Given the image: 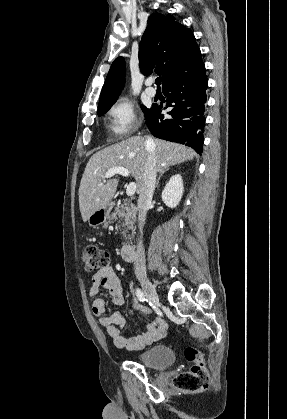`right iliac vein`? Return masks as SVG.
I'll return each mask as SVG.
<instances>
[{"label":"right iliac vein","instance_id":"1","mask_svg":"<svg viewBox=\"0 0 287 419\" xmlns=\"http://www.w3.org/2000/svg\"><path fill=\"white\" fill-rule=\"evenodd\" d=\"M144 293L147 297V299L154 304H159V297L155 291V288L153 287L152 283L150 282V280L145 277V276H141L138 278Z\"/></svg>","mask_w":287,"mask_h":419}]
</instances>
